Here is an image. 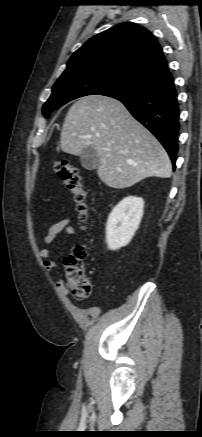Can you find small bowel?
Wrapping results in <instances>:
<instances>
[{
	"label": "small bowel",
	"instance_id": "1",
	"mask_svg": "<svg viewBox=\"0 0 202 437\" xmlns=\"http://www.w3.org/2000/svg\"><path fill=\"white\" fill-rule=\"evenodd\" d=\"M76 233L77 228L71 224V219L65 217L49 227L43 242L45 245H50L60 234L75 235ZM39 254L43 260L45 270L49 273L52 272L56 268V263L51 259V251L48 248H44ZM58 287L63 294H67V290L61 284H58Z\"/></svg>",
	"mask_w": 202,
	"mask_h": 437
}]
</instances>
